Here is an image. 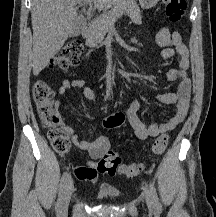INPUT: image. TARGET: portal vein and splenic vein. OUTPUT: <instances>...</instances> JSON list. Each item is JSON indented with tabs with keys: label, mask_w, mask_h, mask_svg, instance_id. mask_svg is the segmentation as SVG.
<instances>
[{
	"label": "portal vein and splenic vein",
	"mask_w": 216,
	"mask_h": 217,
	"mask_svg": "<svg viewBox=\"0 0 216 217\" xmlns=\"http://www.w3.org/2000/svg\"><path fill=\"white\" fill-rule=\"evenodd\" d=\"M91 3H92V0H85L84 1V4H86V5H90L91 6Z\"/></svg>",
	"instance_id": "portal-vein-and-splenic-vein-1"
}]
</instances>
